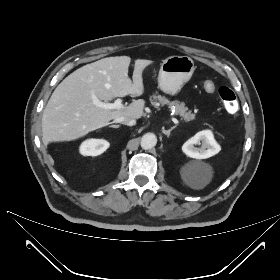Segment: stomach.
I'll return each instance as SVG.
<instances>
[{
	"label": "stomach",
	"instance_id": "stomach-1",
	"mask_svg": "<svg viewBox=\"0 0 280 280\" xmlns=\"http://www.w3.org/2000/svg\"><path fill=\"white\" fill-rule=\"evenodd\" d=\"M194 61L188 56H171L163 60L158 75V88L170 96L179 94L191 79Z\"/></svg>",
	"mask_w": 280,
	"mask_h": 280
}]
</instances>
